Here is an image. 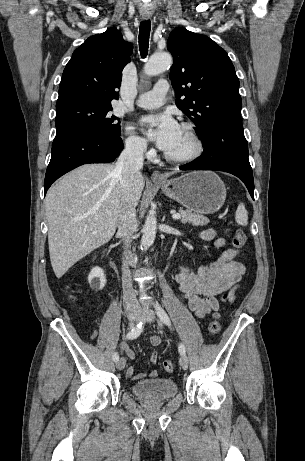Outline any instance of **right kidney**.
<instances>
[{
  "instance_id": "1",
  "label": "right kidney",
  "mask_w": 305,
  "mask_h": 461,
  "mask_svg": "<svg viewBox=\"0 0 305 461\" xmlns=\"http://www.w3.org/2000/svg\"><path fill=\"white\" fill-rule=\"evenodd\" d=\"M88 282L95 291L103 289L106 284L104 271L98 267L93 268L88 276Z\"/></svg>"
}]
</instances>
